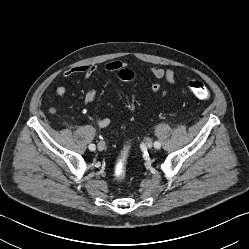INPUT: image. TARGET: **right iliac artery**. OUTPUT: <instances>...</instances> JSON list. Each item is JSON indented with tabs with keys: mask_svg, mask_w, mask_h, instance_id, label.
<instances>
[{
	"mask_svg": "<svg viewBox=\"0 0 249 249\" xmlns=\"http://www.w3.org/2000/svg\"><path fill=\"white\" fill-rule=\"evenodd\" d=\"M89 149H90L91 151H94V150L96 149V146H95L94 144H90V145H89Z\"/></svg>",
	"mask_w": 249,
	"mask_h": 249,
	"instance_id": "obj_1",
	"label": "right iliac artery"
}]
</instances>
